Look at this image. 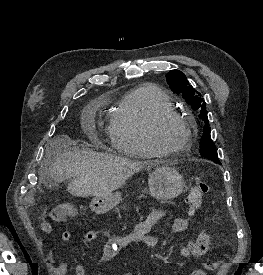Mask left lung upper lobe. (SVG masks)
<instances>
[{"mask_svg": "<svg viewBox=\"0 0 263 275\" xmlns=\"http://www.w3.org/2000/svg\"><path fill=\"white\" fill-rule=\"evenodd\" d=\"M166 80L171 90L176 94H181L186 103L196 110L198 117L205 123L203 136L200 142V154L202 157L210 159L218 164H221L217 155L215 144L211 139L209 121L207 117L206 103L200 97L201 94L194 90L189 84L186 76L178 70H171L166 74Z\"/></svg>", "mask_w": 263, "mask_h": 275, "instance_id": "1", "label": "left lung upper lobe"}]
</instances>
